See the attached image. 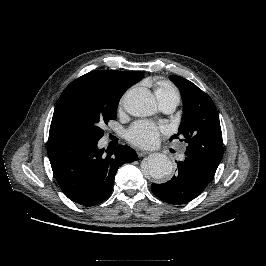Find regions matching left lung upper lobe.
I'll use <instances>...</instances> for the list:
<instances>
[{
    "label": "left lung upper lobe",
    "instance_id": "1",
    "mask_svg": "<svg viewBox=\"0 0 266 266\" xmlns=\"http://www.w3.org/2000/svg\"><path fill=\"white\" fill-rule=\"evenodd\" d=\"M170 80L178 87L183 99V117L179 133L188 144L185 155L217 168L223 156L220 121L214 102L192 82L172 75Z\"/></svg>",
    "mask_w": 266,
    "mask_h": 266
}]
</instances>
